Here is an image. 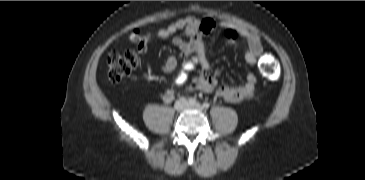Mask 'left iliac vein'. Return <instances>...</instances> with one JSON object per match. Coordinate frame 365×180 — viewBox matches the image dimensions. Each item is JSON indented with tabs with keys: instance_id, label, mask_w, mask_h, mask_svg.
I'll return each mask as SVG.
<instances>
[{
	"instance_id": "left-iliac-vein-1",
	"label": "left iliac vein",
	"mask_w": 365,
	"mask_h": 180,
	"mask_svg": "<svg viewBox=\"0 0 365 180\" xmlns=\"http://www.w3.org/2000/svg\"><path fill=\"white\" fill-rule=\"evenodd\" d=\"M187 108L188 109H196L198 111H203L204 110V107L199 103H197L195 105H187Z\"/></svg>"
}]
</instances>
